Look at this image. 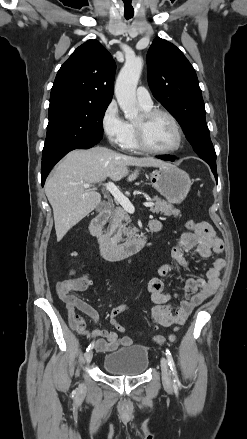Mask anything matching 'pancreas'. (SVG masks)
<instances>
[{
    "mask_svg": "<svg viewBox=\"0 0 247 439\" xmlns=\"http://www.w3.org/2000/svg\"><path fill=\"white\" fill-rule=\"evenodd\" d=\"M153 201H155V206L151 207L153 213H160L164 216H174L178 217L180 215V210L174 208L171 204H168L165 200H162L158 196H154ZM137 232V229L133 226L132 220L123 208H117L115 210L113 220L110 223L108 229V235L112 236V240L115 242H120L124 240V237L129 238Z\"/></svg>",
    "mask_w": 247,
    "mask_h": 439,
    "instance_id": "cf45deb5",
    "label": "pancreas"
}]
</instances>
